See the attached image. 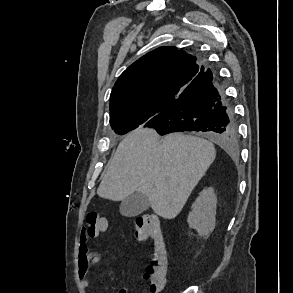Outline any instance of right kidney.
<instances>
[{
    "instance_id": "obj_1",
    "label": "right kidney",
    "mask_w": 293,
    "mask_h": 293,
    "mask_svg": "<svg viewBox=\"0 0 293 293\" xmlns=\"http://www.w3.org/2000/svg\"><path fill=\"white\" fill-rule=\"evenodd\" d=\"M217 198L212 187L204 189L192 205L187 222L199 236H208L215 228Z\"/></svg>"
}]
</instances>
